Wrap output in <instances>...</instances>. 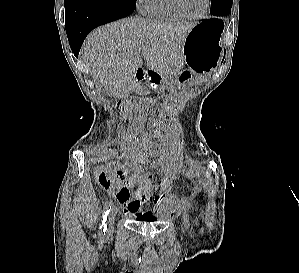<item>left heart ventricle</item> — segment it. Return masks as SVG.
I'll return each mask as SVG.
<instances>
[{"label":"left heart ventricle","instance_id":"b2bd125f","mask_svg":"<svg viewBox=\"0 0 299 273\" xmlns=\"http://www.w3.org/2000/svg\"><path fill=\"white\" fill-rule=\"evenodd\" d=\"M184 10L193 16L200 15L205 8V0H180Z\"/></svg>","mask_w":299,"mask_h":273}]
</instances>
